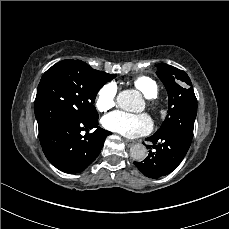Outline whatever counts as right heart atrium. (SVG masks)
Segmentation results:
<instances>
[{
  "label": "right heart atrium",
  "instance_id": "1",
  "mask_svg": "<svg viewBox=\"0 0 229 229\" xmlns=\"http://www.w3.org/2000/svg\"><path fill=\"white\" fill-rule=\"evenodd\" d=\"M117 92V86L113 82L101 86L95 95L94 104L96 109L100 112L111 109L116 103Z\"/></svg>",
  "mask_w": 229,
  "mask_h": 229
}]
</instances>
